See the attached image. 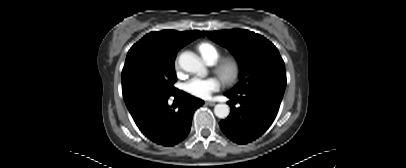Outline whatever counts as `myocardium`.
Wrapping results in <instances>:
<instances>
[{
    "mask_svg": "<svg viewBox=\"0 0 406 168\" xmlns=\"http://www.w3.org/2000/svg\"><path fill=\"white\" fill-rule=\"evenodd\" d=\"M214 71L225 84L232 85L239 80L242 72V65L237 57L228 56L215 63Z\"/></svg>",
    "mask_w": 406,
    "mask_h": 168,
    "instance_id": "obj_1",
    "label": "myocardium"
}]
</instances>
